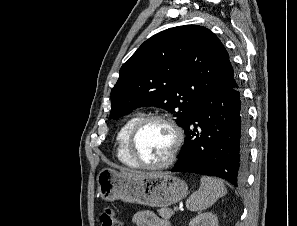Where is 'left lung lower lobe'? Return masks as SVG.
Wrapping results in <instances>:
<instances>
[{
	"mask_svg": "<svg viewBox=\"0 0 297 226\" xmlns=\"http://www.w3.org/2000/svg\"><path fill=\"white\" fill-rule=\"evenodd\" d=\"M183 128L185 143L172 172L217 176L236 187L244 183L247 110L238 86L205 92Z\"/></svg>",
	"mask_w": 297,
	"mask_h": 226,
	"instance_id": "left-lung-lower-lobe-1",
	"label": "left lung lower lobe"
}]
</instances>
